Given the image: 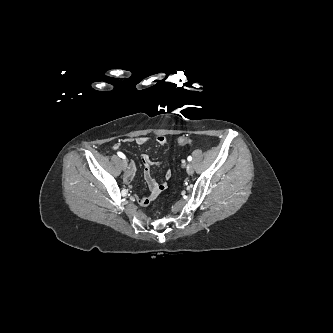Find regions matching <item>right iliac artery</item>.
<instances>
[{
  "instance_id": "right-iliac-artery-1",
  "label": "right iliac artery",
  "mask_w": 333,
  "mask_h": 333,
  "mask_svg": "<svg viewBox=\"0 0 333 333\" xmlns=\"http://www.w3.org/2000/svg\"><path fill=\"white\" fill-rule=\"evenodd\" d=\"M117 154H118L119 157H121V158H123V159L126 158L125 155H124L122 152H118Z\"/></svg>"
}]
</instances>
